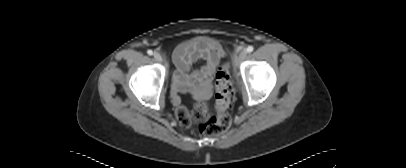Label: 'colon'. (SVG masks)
<instances>
[{
  "label": "colon",
  "instance_id": "1",
  "mask_svg": "<svg viewBox=\"0 0 406 168\" xmlns=\"http://www.w3.org/2000/svg\"><path fill=\"white\" fill-rule=\"evenodd\" d=\"M216 107L217 114H211L204 103H196L191 108L179 106L176 117L180 125L189 127L196 123L203 136L210 137L223 133L231 124V117L225 111L232 100L230 75L227 65L221 66L216 73Z\"/></svg>",
  "mask_w": 406,
  "mask_h": 168
}]
</instances>
